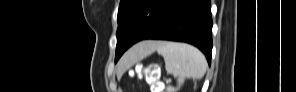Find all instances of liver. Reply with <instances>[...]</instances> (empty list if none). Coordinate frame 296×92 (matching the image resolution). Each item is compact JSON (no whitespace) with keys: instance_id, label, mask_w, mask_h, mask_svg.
<instances>
[{"instance_id":"obj_1","label":"liver","mask_w":296,"mask_h":92,"mask_svg":"<svg viewBox=\"0 0 296 92\" xmlns=\"http://www.w3.org/2000/svg\"><path fill=\"white\" fill-rule=\"evenodd\" d=\"M156 42L144 41L129 50L118 64L117 74L121 75L126 69L134 65L141 58L155 50Z\"/></svg>"}]
</instances>
